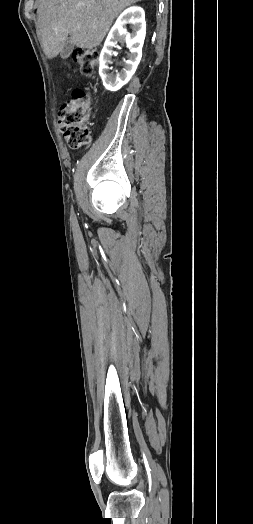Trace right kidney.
I'll list each match as a JSON object with an SVG mask.
<instances>
[{
  "label": "right kidney",
  "mask_w": 253,
  "mask_h": 524,
  "mask_svg": "<svg viewBox=\"0 0 253 524\" xmlns=\"http://www.w3.org/2000/svg\"><path fill=\"white\" fill-rule=\"evenodd\" d=\"M126 24H131L132 34L127 32ZM146 34L145 13L140 7H130L120 14L110 30L99 58V75L104 87L109 91H118L135 73L142 57V47ZM117 42H125L130 50L124 68L116 76L108 74L113 51Z\"/></svg>",
  "instance_id": "obj_1"
}]
</instances>
